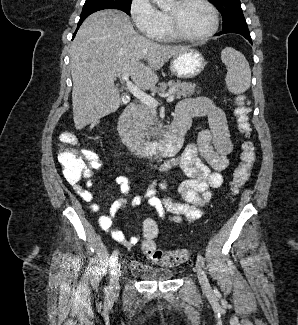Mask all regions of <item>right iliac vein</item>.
Wrapping results in <instances>:
<instances>
[{
    "mask_svg": "<svg viewBox=\"0 0 298 325\" xmlns=\"http://www.w3.org/2000/svg\"><path fill=\"white\" fill-rule=\"evenodd\" d=\"M120 264H116L109 283V293L115 295L119 291Z\"/></svg>",
    "mask_w": 298,
    "mask_h": 325,
    "instance_id": "63e3f726",
    "label": "right iliac vein"
}]
</instances>
